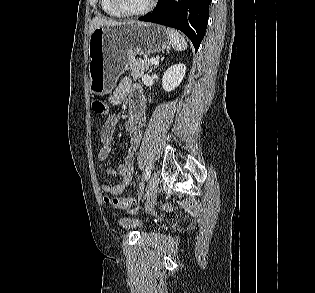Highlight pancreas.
Listing matches in <instances>:
<instances>
[{
	"instance_id": "obj_1",
	"label": "pancreas",
	"mask_w": 315,
	"mask_h": 293,
	"mask_svg": "<svg viewBox=\"0 0 315 293\" xmlns=\"http://www.w3.org/2000/svg\"><path fill=\"white\" fill-rule=\"evenodd\" d=\"M152 68V64L146 59H135L130 57L128 60V69L130 70V75L133 79L137 80L144 76Z\"/></svg>"
}]
</instances>
